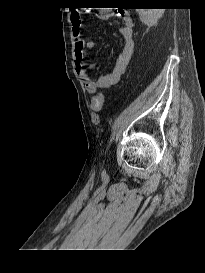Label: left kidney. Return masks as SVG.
<instances>
[{"label":"left kidney","mask_w":205,"mask_h":273,"mask_svg":"<svg viewBox=\"0 0 205 273\" xmlns=\"http://www.w3.org/2000/svg\"><path fill=\"white\" fill-rule=\"evenodd\" d=\"M140 21L148 27L155 26L162 17L164 9H136Z\"/></svg>","instance_id":"left-kidney-1"}]
</instances>
